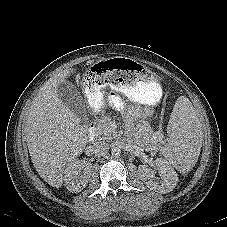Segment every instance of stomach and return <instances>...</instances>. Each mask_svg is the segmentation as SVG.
Masks as SVG:
<instances>
[{
    "label": "stomach",
    "mask_w": 227,
    "mask_h": 227,
    "mask_svg": "<svg viewBox=\"0 0 227 227\" xmlns=\"http://www.w3.org/2000/svg\"><path fill=\"white\" fill-rule=\"evenodd\" d=\"M84 86L88 103L94 111L101 108V93L108 88L142 104H154L162 94L161 86L152 77L150 70L128 57L96 60L86 72Z\"/></svg>",
    "instance_id": "0dacf381"
}]
</instances>
